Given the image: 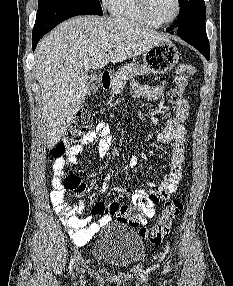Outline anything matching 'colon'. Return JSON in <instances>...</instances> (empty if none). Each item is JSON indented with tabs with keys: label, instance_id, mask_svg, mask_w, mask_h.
I'll list each match as a JSON object with an SVG mask.
<instances>
[{
	"label": "colon",
	"instance_id": "5ec220e1",
	"mask_svg": "<svg viewBox=\"0 0 233 286\" xmlns=\"http://www.w3.org/2000/svg\"><path fill=\"white\" fill-rule=\"evenodd\" d=\"M195 73V67L186 62L178 63L176 67V89L169 93V99L173 102L180 101L183 92L188 88L190 79ZM94 124V117L86 107L81 108L73 119L63 138L50 150L49 160L53 166L67 156L73 144ZM61 177L62 185L65 189L82 193L86 186L80 178L74 174L63 177V172L57 170ZM183 209L182 202L174 198L163 204L160 216L152 227L142 225V212L138 206H131L128 212V219L132 226L140 227V235L150 243L158 245L169 234L175 219Z\"/></svg>",
	"mask_w": 233,
	"mask_h": 286
}]
</instances>
